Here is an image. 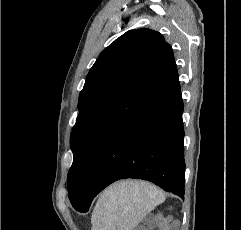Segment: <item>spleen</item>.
<instances>
[{
	"instance_id": "3e777b00",
	"label": "spleen",
	"mask_w": 241,
	"mask_h": 230,
	"mask_svg": "<svg viewBox=\"0 0 241 230\" xmlns=\"http://www.w3.org/2000/svg\"><path fill=\"white\" fill-rule=\"evenodd\" d=\"M164 201V193L150 183L117 182L100 195L92 213L91 230H133Z\"/></svg>"
}]
</instances>
